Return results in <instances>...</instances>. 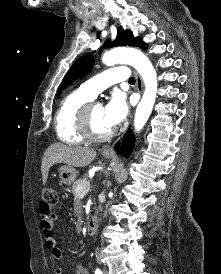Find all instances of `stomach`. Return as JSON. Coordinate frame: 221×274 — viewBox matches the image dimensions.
<instances>
[{"label": "stomach", "instance_id": "stomach-1", "mask_svg": "<svg viewBox=\"0 0 221 274\" xmlns=\"http://www.w3.org/2000/svg\"><path fill=\"white\" fill-rule=\"evenodd\" d=\"M103 156L107 159L112 157V155L104 153ZM58 171L61 183H63L64 185H71L75 181L78 174L75 168L67 165L59 167Z\"/></svg>", "mask_w": 221, "mask_h": 274}]
</instances>
